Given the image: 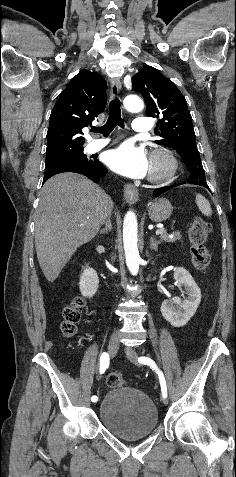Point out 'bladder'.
I'll return each mask as SVG.
<instances>
[{"label": "bladder", "instance_id": "31cf9c89", "mask_svg": "<svg viewBox=\"0 0 236 477\" xmlns=\"http://www.w3.org/2000/svg\"><path fill=\"white\" fill-rule=\"evenodd\" d=\"M97 407L104 427L125 440L146 438L159 424L155 404L145 392L132 386L111 387Z\"/></svg>", "mask_w": 236, "mask_h": 477}]
</instances>
